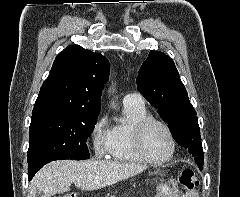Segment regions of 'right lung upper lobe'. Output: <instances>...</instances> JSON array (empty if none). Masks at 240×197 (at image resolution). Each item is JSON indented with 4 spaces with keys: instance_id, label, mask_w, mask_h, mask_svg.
Wrapping results in <instances>:
<instances>
[{
    "instance_id": "obj_1",
    "label": "right lung upper lobe",
    "mask_w": 240,
    "mask_h": 197,
    "mask_svg": "<svg viewBox=\"0 0 240 197\" xmlns=\"http://www.w3.org/2000/svg\"><path fill=\"white\" fill-rule=\"evenodd\" d=\"M109 67L107 58L99 53L76 45L66 47L56 56L32 114L48 111L99 114Z\"/></svg>"
}]
</instances>
